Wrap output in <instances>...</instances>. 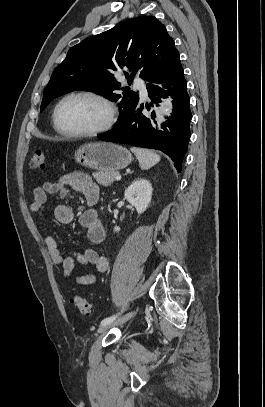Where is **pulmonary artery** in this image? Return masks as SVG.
<instances>
[{"label": "pulmonary artery", "instance_id": "1", "mask_svg": "<svg viewBox=\"0 0 265 407\" xmlns=\"http://www.w3.org/2000/svg\"><path fill=\"white\" fill-rule=\"evenodd\" d=\"M134 83H135V86L138 89H140L142 96L146 97L147 96V89H146V85L144 84V81L141 78L136 77L134 79Z\"/></svg>", "mask_w": 265, "mask_h": 407}]
</instances>
